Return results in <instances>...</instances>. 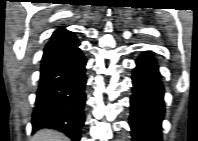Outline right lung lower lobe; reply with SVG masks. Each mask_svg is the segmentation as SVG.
<instances>
[{
	"label": "right lung lower lobe",
	"mask_w": 198,
	"mask_h": 141,
	"mask_svg": "<svg viewBox=\"0 0 198 141\" xmlns=\"http://www.w3.org/2000/svg\"><path fill=\"white\" fill-rule=\"evenodd\" d=\"M76 36L52 38L44 49L32 115L33 132L51 128L79 141L85 122L86 58Z\"/></svg>",
	"instance_id": "obj_1"
}]
</instances>
